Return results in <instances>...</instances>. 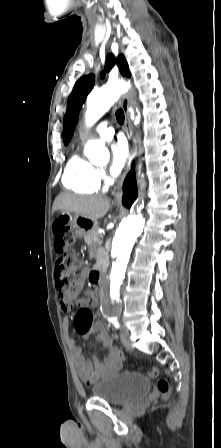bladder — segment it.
I'll use <instances>...</instances> for the list:
<instances>
[{
	"instance_id": "1",
	"label": "bladder",
	"mask_w": 221,
	"mask_h": 448,
	"mask_svg": "<svg viewBox=\"0 0 221 448\" xmlns=\"http://www.w3.org/2000/svg\"><path fill=\"white\" fill-rule=\"evenodd\" d=\"M91 390L94 398L120 406L146 397L151 381L139 371L119 370L96 381Z\"/></svg>"
}]
</instances>
